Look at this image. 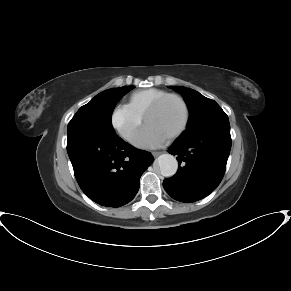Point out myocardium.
Instances as JSON below:
<instances>
[{
  "label": "myocardium",
  "mask_w": 291,
  "mask_h": 291,
  "mask_svg": "<svg viewBox=\"0 0 291 291\" xmlns=\"http://www.w3.org/2000/svg\"><path fill=\"white\" fill-rule=\"evenodd\" d=\"M169 99L178 100L180 102V104L182 105L183 112H184V117H183V121H182L181 125L173 133H171L167 137V139H174L185 132V130L187 129L189 122H190L189 106H188L186 100L182 96H180L178 94H174V93H169V94H166V95L158 98L145 111V113L143 115V121H144V123H146L149 116L152 115L155 111H157Z\"/></svg>",
  "instance_id": "f54148a6"
}]
</instances>
